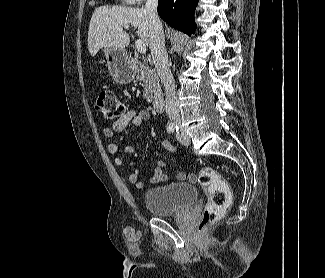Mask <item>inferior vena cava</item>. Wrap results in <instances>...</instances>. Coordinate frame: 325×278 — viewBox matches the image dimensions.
Listing matches in <instances>:
<instances>
[{
  "mask_svg": "<svg viewBox=\"0 0 325 278\" xmlns=\"http://www.w3.org/2000/svg\"><path fill=\"white\" fill-rule=\"evenodd\" d=\"M158 0H147L145 11L148 14L150 26V50L153 63L157 73L165 87V109L170 120L180 121L177 95L175 90V82L168 65V56L164 43L163 26L157 13Z\"/></svg>",
  "mask_w": 325,
  "mask_h": 278,
  "instance_id": "obj_1",
  "label": "inferior vena cava"
}]
</instances>
